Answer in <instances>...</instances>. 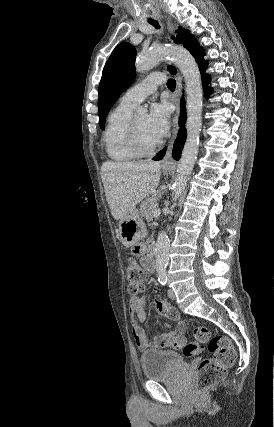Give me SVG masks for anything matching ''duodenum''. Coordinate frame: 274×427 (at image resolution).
Instances as JSON below:
<instances>
[{
	"label": "duodenum",
	"instance_id": "410a0bca",
	"mask_svg": "<svg viewBox=\"0 0 274 427\" xmlns=\"http://www.w3.org/2000/svg\"><path fill=\"white\" fill-rule=\"evenodd\" d=\"M156 256V246L152 244L148 249V259L154 265V259Z\"/></svg>",
	"mask_w": 274,
	"mask_h": 427
}]
</instances>
